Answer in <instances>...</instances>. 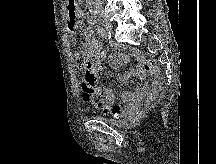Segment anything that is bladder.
Masks as SVG:
<instances>
[{
    "label": "bladder",
    "mask_w": 216,
    "mask_h": 164,
    "mask_svg": "<svg viewBox=\"0 0 216 164\" xmlns=\"http://www.w3.org/2000/svg\"><path fill=\"white\" fill-rule=\"evenodd\" d=\"M103 121L112 125H121L124 123L122 121L115 120V119H103Z\"/></svg>",
    "instance_id": "obj_1"
}]
</instances>
